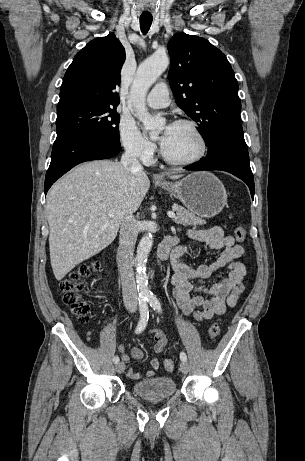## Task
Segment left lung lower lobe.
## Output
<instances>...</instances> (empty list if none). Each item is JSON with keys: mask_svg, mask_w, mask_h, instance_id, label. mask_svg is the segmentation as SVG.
Wrapping results in <instances>:
<instances>
[{"mask_svg": "<svg viewBox=\"0 0 305 461\" xmlns=\"http://www.w3.org/2000/svg\"><path fill=\"white\" fill-rule=\"evenodd\" d=\"M184 168L229 172L243 180L248 185L252 198L254 197V179L241 124L223 127L215 135L207 156Z\"/></svg>", "mask_w": 305, "mask_h": 461, "instance_id": "left-lung-lower-lobe-1", "label": "left lung lower lobe"}]
</instances>
